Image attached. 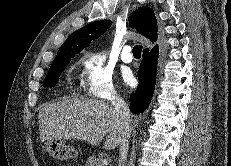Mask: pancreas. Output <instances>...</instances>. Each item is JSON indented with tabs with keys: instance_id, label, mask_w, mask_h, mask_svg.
Listing matches in <instances>:
<instances>
[{
	"instance_id": "cf45deb5",
	"label": "pancreas",
	"mask_w": 231,
	"mask_h": 166,
	"mask_svg": "<svg viewBox=\"0 0 231 166\" xmlns=\"http://www.w3.org/2000/svg\"><path fill=\"white\" fill-rule=\"evenodd\" d=\"M85 166H104V165L101 157L92 155L86 160Z\"/></svg>"
}]
</instances>
